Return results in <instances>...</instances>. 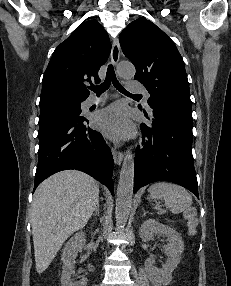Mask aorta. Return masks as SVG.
Returning a JSON list of instances; mask_svg holds the SVG:
<instances>
[{
	"instance_id": "1",
	"label": "aorta",
	"mask_w": 231,
	"mask_h": 286,
	"mask_svg": "<svg viewBox=\"0 0 231 286\" xmlns=\"http://www.w3.org/2000/svg\"><path fill=\"white\" fill-rule=\"evenodd\" d=\"M117 73L124 79H131L135 75V67L131 63H120ZM134 187V155L128 149L125 153L116 197V226L123 229L127 223L132 205Z\"/></svg>"
}]
</instances>
